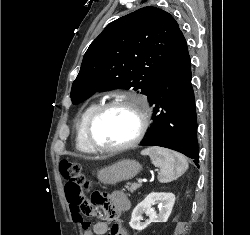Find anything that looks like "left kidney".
Here are the masks:
<instances>
[{
  "label": "left kidney",
  "instance_id": "5707ae66",
  "mask_svg": "<svg viewBox=\"0 0 250 235\" xmlns=\"http://www.w3.org/2000/svg\"><path fill=\"white\" fill-rule=\"evenodd\" d=\"M159 203V213L152 208V205ZM175 203V195L171 192H152L142 202H140L133 210L130 227L137 231L144 230L152 222H167L173 205ZM149 216L147 222H140L142 214Z\"/></svg>",
  "mask_w": 250,
  "mask_h": 235
}]
</instances>
